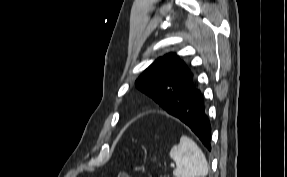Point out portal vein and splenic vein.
I'll return each mask as SVG.
<instances>
[{"label": "portal vein and splenic vein", "instance_id": "18ae733b", "mask_svg": "<svg viewBox=\"0 0 287 177\" xmlns=\"http://www.w3.org/2000/svg\"><path fill=\"white\" fill-rule=\"evenodd\" d=\"M171 167H172V168H174V167H175V165H174V164H171Z\"/></svg>", "mask_w": 287, "mask_h": 177}]
</instances>
